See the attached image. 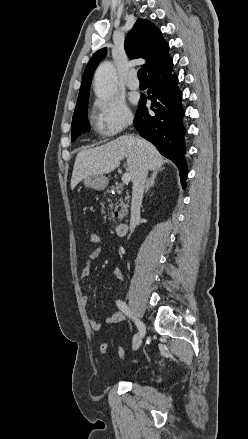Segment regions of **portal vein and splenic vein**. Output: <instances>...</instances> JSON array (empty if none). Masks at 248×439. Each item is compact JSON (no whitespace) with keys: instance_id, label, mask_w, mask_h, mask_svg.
Listing matches in <instances>:
<instances>
[{"instance_id":"portal-vein-and-splenic-vein-1","label":"portal vein and splenic vein","mask_w":248,"mask_h":439,"mask_svg":"<svg viewBox=\"0 0 248 439\" xmlns=\"http://www.w3.org/2000/svg\"><path fill=\"white\" fill-rule=\"evenodd\" d=\"M130 179H131V175H130V173L126 172V173L123 174V176H122V182H123L124 184H128V183L130 182Z\"/></svg>"}]
</instances>
